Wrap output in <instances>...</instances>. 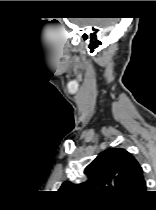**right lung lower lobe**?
Instances as JSON below:
<instances>
[{"label": "right lung lower lobe", "instance_id": "1", "mask_svg": "<svg viewBox=\"0 0 156 210\" xmlns=\"http://www.w3.org/2000/svg\"><path fill=\"white\" fill-rule=\"evenodd\" d=\"M144 194H145V192H144L142 195H140V196H138V197L132 199L131 201H136V200L140 199Z\"/></svg>", "mask_w": 156, "mask_h": 210}]
</instances>
